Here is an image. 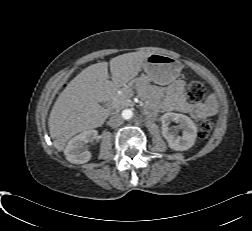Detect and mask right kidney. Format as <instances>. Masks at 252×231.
I'll use <instances>...</instances> for the list:
<instances>
[{
	"label": "right kidney",
	"mask_w": 252,
	"mask_h": 231,
	"mask_svg": "<svg viewBox=\"0 0 252 231\" xmlns=\"http://www.w3.org/2000/svg\"><path fill=\"white\" fill-rule=\"evenodd\" d=\"M96 130H87L72 138L65 150L66 159L74 164H83L91 159V152L84 145L97 136Z\"/></svg>",
	"instance_id": "obj_1"
}]
</instances>
